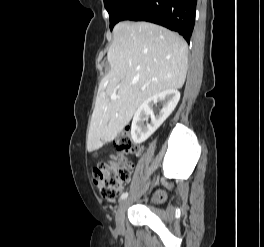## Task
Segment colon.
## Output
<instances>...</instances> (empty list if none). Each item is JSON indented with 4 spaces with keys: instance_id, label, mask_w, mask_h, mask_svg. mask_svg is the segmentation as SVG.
Listing matches in <instances>:
<instances>
[{
    "instance_id": "colon-1",
    "label": "colon",
    "mask_w": 264,
    "mask_h": 247,
    "mask_svg": "<svg viewBox=\"0 0 264 247\" xmlns=\"http://www.w3.org/2000/svg\"><path fill=\"white\" fill-rule=\"evenodd\" d=\"M140 153L127 130L122 131L114 141V153L108 160H100L92 169V178L100 195L109 202H115L123 186L129 181L132 163L129 156Z\"/></svg>"
}]
</instances>
